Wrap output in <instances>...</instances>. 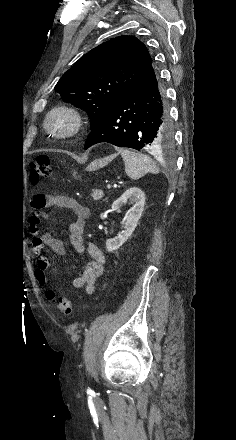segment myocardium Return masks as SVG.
<instances>
[{"label":"myocardium","mask_w":236,"mask_h":440,"mask_svg":"<svg viewBox=\"0 0 236 440\" xmlns=\"http://www.w3.org/2000/svg\"><path fill=\"white\" fill-rule=\"evenodd\" d=\"M43 126L46 133L54 140L71 139L82 132L84 117L77 107L60 104L48 111Z\"/></svg>","instance_id":"f54148a6"}]
</instances>
